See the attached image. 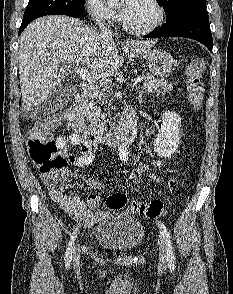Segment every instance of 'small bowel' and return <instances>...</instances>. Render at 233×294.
I'll list each match as a JSON object with an SVG mask.
<instances>
[{
    "mask_svg": "<svg viewBox=\"0 0 233 294\" xmlns=\"http://www.w3.org/2000/svg\"><path fill=\"white\" fill-rule=\"evenodd\" d=\"M58 149L65 155L66 160L69 165L76 167L88 166L93 162L94 154L91 142L84 139L81 135L74 132L69 136H60L56 140ZM73 146H80V155H75L72 152ZM120 158L123 161L128 159V151L126 147H122L120 150ZM162 162L160 160H155L151 162H142L139 167L132 173L130 181L133 184H138L141 181L143 175H149L154 181L161 182L163 180L162 176L155 175L151 172L153 168L161 166ZM83 187L91 189H101L103 184L97 180L82 177ZM49 185V193L54 202H56L74 221L79 222L84 227H90L101 218L104 217V211H92L90 210L85 201L81 196V192L74 195H67L62 189H57L53 187L49 180L47 179ZM88 205L96 209L93 203H101L100 198L97 195L89 194L87 197Z\"/></svg>",
    "mask_w": 233,
    "mask_h": 294,
    "instance_id": "c3829d8e",
    "label": "small bowel"
}]
</instances>
